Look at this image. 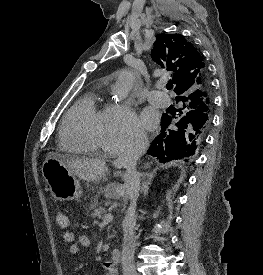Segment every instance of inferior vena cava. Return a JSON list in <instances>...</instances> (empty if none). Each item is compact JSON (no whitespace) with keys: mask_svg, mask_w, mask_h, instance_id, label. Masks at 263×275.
<instances>
[{"mask_svg":"<svg viewBox=\"0 0 263 275\" xmlns=\"http://www.w3.org/2000/svg\"><path fill=\"white\" fill-rule=\"evenodd\" d=\"M149 141L145 133H140L133 140L127 142L121 149L116 165L126 169L125 181L128 196L131 200L127 214L123 221L122 269L123 275H137L134 265V251L136 245V201L139 196L140 177L136 171V163L145 153Z\"/></svg>","mask_w":263,"mask_h":275,"instance_id":"obj_1","label":"inferior vena cava"}]
</instances>
